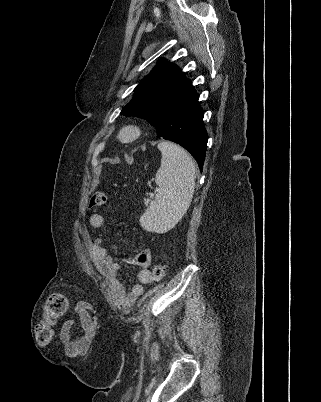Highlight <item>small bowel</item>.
Returning a JSON list of instances; mask_svg holds the SVG:
<instances>
[{
    "label": "small bowel",
    "instance_id": "small-bowel-1",
    "mask_svg": "<svg viewBox=\"0 0 321 402\" xmlns=\"http://www.w3.org/2000/svg\"><path fill=\"white\" fill-rule=\"evenodd\" d=\"M104 223L105 217L100 213H93L89 218L92 233L90 239L91 256L98 271L107 280L116 304L124 313H129L142 295L144 285L152 282L151 273L148 269L151 263V253L148 250H144L129 259L132 265L139 268V272L138 283L134 284L130 291L127 292L124 284L118 278L119 261L115 256L107 253L103 245V238L97 235V231L103 227ZM94 308L93 302H81L78 304L75 313L78 315L80 324H83L82 330L78 332L79 338L72 340L69 338L68 329H73L75 326L73 320H62L61 322V339L66 352L74 358H81L83 353H87L88 346L91 344L92 335H94L97 328V321L92 320Z\"/></svg>",
    "mask_w": 321,
    "mask_h": 402
}]
</instances>
